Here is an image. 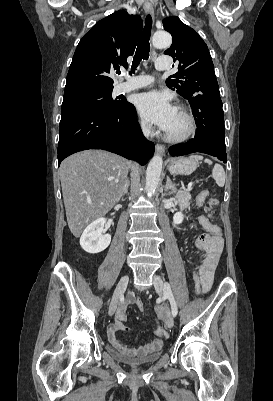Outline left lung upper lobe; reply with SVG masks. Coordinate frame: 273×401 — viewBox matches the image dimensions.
<instances>
[{"instance_id": "obj_1", "label": "left lung upper lobe", "mask_w": 273, "mask_h": 401, "mask_svg": "<svg viewBox=\"0 0 273 401\" xmlns=\"http://www.w3.org/2000/svg\"><path fill=\"white\" fill-rule=\"evenodd\" d=\"M162 23L173 38L164 54L179 62L178 72L166 80L167 86L186 99L198 94L220 96L208 47L199 34L177 16L167 17Z\"/></svg>"}]
</instances>
